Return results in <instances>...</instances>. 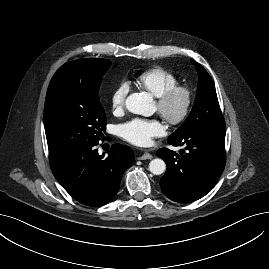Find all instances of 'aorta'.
I'll return each instance as SVG.
<instances>
[{
  "label": "aorta",
  "mask_w": 269,
  "mask_h": 269,
  "mask_svg": "<svg viewBox=\"0 0 269 269\" xmlns=\"http://www.w3.org/2000/svg\"><path fill=\"white\" fill-rule=\"evenodd\" d=\"M152 101V96L146 92L133 93L127 97L125 105L131 113L149 116L152 114ZM165 170L166 164L160 158L149 163V171L154 175H161Z\"/></svg>",
  "instance_id": "aorta-1"
}]
</instances>
